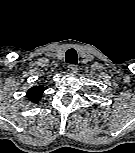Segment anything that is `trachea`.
<instances>
[{
  "label": "trachea",
  "instance_id": "obj_1",
  "mask_svg": "<svg viewBox=\"0 0 135 153\" xmlns=\"http://www.w3.org/2000/svg\"><path fill=\"white\" fill-rule=\"evenodd\" d=\"M65 61L68 64H77L78 61V55L74 49H68L66 54H65Z\"/></svg>",
  "mask_w": 135,
  "mask_h": 153
}]
</instances>
